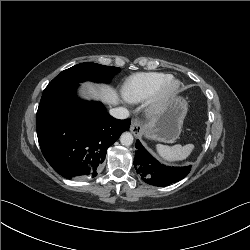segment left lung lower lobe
<instances>
[{"instance_id":"0a47b994","label":"left lung lower lobe","mask_w":250,"mask_h":250,"mask_svg":"<svg viewBox=\"0 0 250 250\" xmlns=\"http://www.w3.org/2000/svg\"><path fill=\"white\" fill-rule=\"evenodd\" d=\"M134 166L143 181L154 186H168L188 175L190 167H168L159 163L142 146L139 140L136 141Z\"/></svg>"}]
</instances>
